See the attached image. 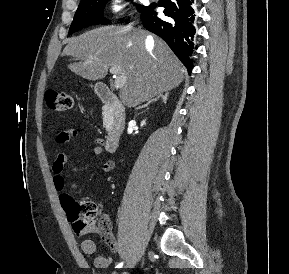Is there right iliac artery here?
Masks as SVG:
<instances>
[{
  "label": "right iliac artery",
  "mask_w": 289,
  "mask_h": 274,
  "mask_svg": "<svg viewBox=\"0 0 289 274\" xmlns=\"http://www.w3.org/2000/svg\"><path fill=\"white\" fill-rule=\"evenodd\" d=\"M122 266H123V262L119 263V264L116 266V268H122Z\"/></svg>",
  "instance_id": "right-iliac-artery-1"
}]
</instances>
